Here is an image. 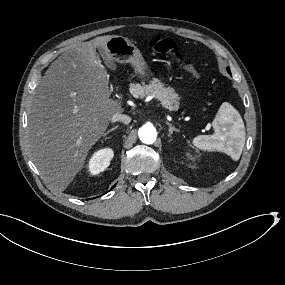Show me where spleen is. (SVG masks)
Segmentation results:
<instances>
[{
    "label": "spleen",
    "instance_id": "obj_1",
    "mask_svg": "<svg viewBox=\"0 0 285 285\" xmlns=\"http://www.w3.org/2000/svg\"><path fill=\"white\" fill-rule=\"evenodd\" d=\"M226 114H227V111L223 112L222 114L217 115L215 121L213 122V126L215 130H216L215 123L217 122L218 118H221L222 116H226ZM225 135L230 136L232 140L236 139V143L234 144V147L235 146L239 147V153L233 154L232 158L234 160H238L242 152V149L244 147V143H245V130L243 128L235 129L233 132L223 134L221 137H218L216 134L215 135H199L193 139V144L194 146L202 150H208V151L222 150L224 151L225 150V147H224L225 145L224 136ZM234 147L230 148L229 151L232 152Z\"/></svg>",
    "mask_w": 285,
    "mask_h": 285
}]
</instances>
